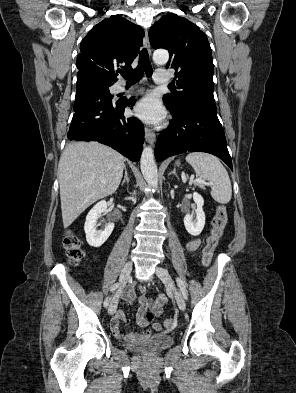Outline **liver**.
<instances>
[{
    "instance_id": "liver-1",
    "label": "liver",
    "mask_w": 296,
    "mask_h": 393,
    "mask_svg": "<svg viewBox=\"0 0 296 393\" xmlns=\"http://www.w3.org/2000/svg\"><path fill=\"white\" fill-rule=\"evenodd\" d=\"M124 166L120 153L98 142L66 146L58 165L64 228L90 205L117 190Z\"/></svg>"
}]
</instances>
